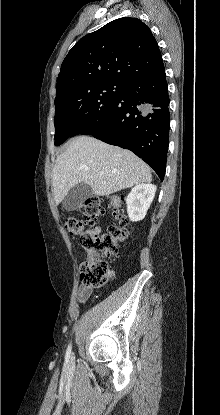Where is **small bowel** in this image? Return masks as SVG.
Listing matches in <instances>:
<instances>
[{"label": "small bowel", "mask_w": 220, "mask_h": 415, "mask_svg": "<svg viewBox=\"0 0 220 415\" xmlns=\"http://www.w3.org/2000/svg\"><path fill=\"white\" fill-rule=\"evenodd\" d=\"M99 230L100 228H96L94 231H99ZM92 293H93V290L91 289V287L82 285L79 287L77 299L80 303H85L89 300Z\"/></svg>", "instance_id": "c3829d8e"}]
</instances>
